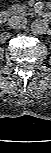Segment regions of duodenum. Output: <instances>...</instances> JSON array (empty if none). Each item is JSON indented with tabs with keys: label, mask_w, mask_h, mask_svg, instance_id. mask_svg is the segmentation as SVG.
<instances>
[{
	"label": "duodenum",
	"mask_w": 51,
	"mask_h": 153,
	"mask_svg": "<svg viewBox=\"0 0 51 153\" xmlns=\"http://www.w3.org/2000/svg\"><path fill=\"white\" fill-rule=\"evenodd\" d=\"M9 18V12L7 10H1L0 11V23L5 24ZM42 18L46 21H49L51 19V15L49 12L45 11L42 14Z\"/></svg>",
	"instance_id": "duodenum-1"
}]
</instances>
